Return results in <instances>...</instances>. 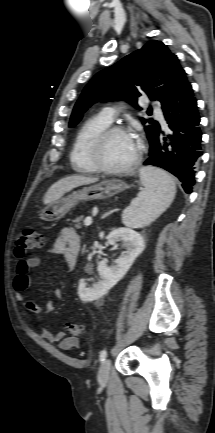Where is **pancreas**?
Here are the masks:
<instances>
[{
    "instance_id": "pancreas-1",
    "label": "pancreas",
    "mask_w": 215,
    "mask_h": 433,
    "mask_svg": "<svg viewBox=\"0 0 215 433\" xmlns=\"http://www.w3.org/2000/svg\"><path fill=\"white\" fill-rule=\"evenodd\" d=\"M82 220H83L82 217H77V218L74 220L75 227H76L77 229H82V228H83Z\"/></svg>"
}]
</instances>
